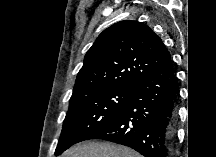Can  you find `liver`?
<instances>
[{
    "label": "liver",
    "mask_w": 216,
    "mask_h": 157,
    "mask_svg": "<svg viewBox=\"0 0 216 157\" xmlns=\"http://www.w3.org/2000/svg\"><path fill=\"white\" fill-rule=\"evenodd\" d=\"M62 157H140V154L123 145L89 142L67 150Z\"/></svg>",
    "instance_id": "1"
}]
</instances>
